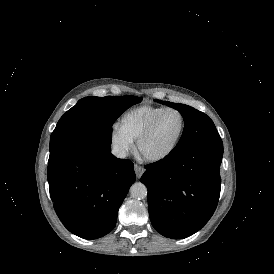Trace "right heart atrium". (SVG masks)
<instances>
[{"instance_id":"1","label":"right heart atrium","mask_w":274,"mask_h":274,"mask_svg":"<svg viewBox=\"0 0 274 274\" xmlns=\"http://www.w3.org/2000/svg\"><path fill=\"white\" fill-rule=\"evenodd\" d=\"M110 139L112 145L121 156L128 155L134 148L133 142L121 132L119 127L114 126L111 129Z\"/></svg>"}]
</instances>
